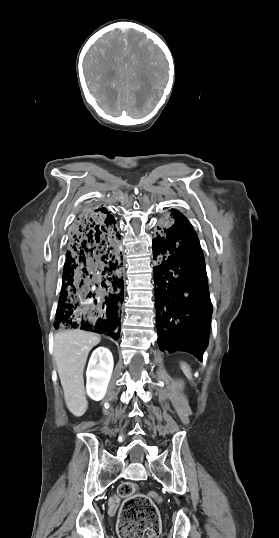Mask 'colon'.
Wrapping results in <instances>:
<instances>
[{
  "label": "colon",
  "instance_id": "1",
  "mask_svg": "<svg viewBox=\"0 0 279 538\" xmlns=\"http://www.w3.org/2000/svg\"><path fill=\"white\" fill-rule=\"evenodd\" d=\"M118 493L124 498L118 522L120 538H156L160 518L152 499L159 500L157 494L138 493L131 482L121 484Z\"/></svg>",
  "mask_w": 279,
  "mask_h": 538
}]
</instances>
